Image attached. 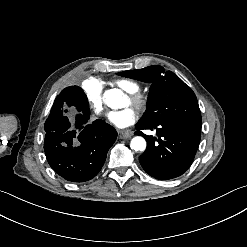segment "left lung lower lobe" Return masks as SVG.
Listing matches in <instances>:
<instances>
[{
	"label": "left lung lower lobe",
	"mask_w": 247,
	"mask_h": 247,
	"mask_svg": "<svg viewBox=\"0 0 247 247\" xmlns=\"http://www.w3.org/2000/svg\"><path fill=\"white\" fill-rule=\"evenodd\" d=\"M135 127L138 129L135 134L147 141V149L139 157L147 174L168 180L182 175L190 167L200 143L201 127L182 121L149 126L136 124ZM142 129H155L158 139L143 134Z\"/></svg>",
	"instance_id": "left-lung-lower-lobe-1"
}]
</instances>
